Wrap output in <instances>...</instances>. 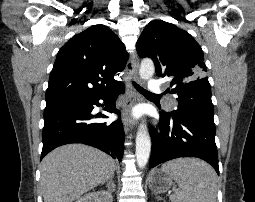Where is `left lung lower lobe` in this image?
<instances>
[{
	"label": "left lung lower lobe",
	"mask_w": 255,
	"mask_h": 202,
	"mask_svg": "<svg viewBox=\"0 0 255 202\" xmlns=\"http://www.w3.org/2000/svg\"><path fill=\"white\" fill-rule=\"evenodd\" d=\"M160 132L151 128L150 168L179 157H198L219 174L214 120L202 115L172 116L161 112Z\"/></svg>",
	"instance_id": "obj_1"
}]
</instances>
